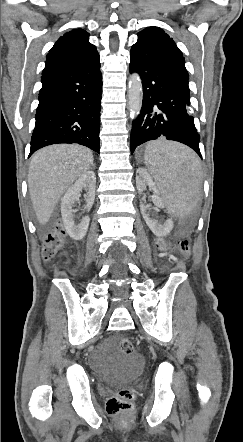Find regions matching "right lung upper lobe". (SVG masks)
I'll use <instances>...</instances> for the list:
<instances>
[{
  "label": "right lung upper lobe",
  "instance_id": "1",
  "mask_svg": "<svg viewBox=\"0 0 243 442\" xmlns=\"http://www.w3.org/2000/svg\"><path fill=\"white\" fill-rule=\"evenodd\" d=\"M96 53L95 45L89 42V34L85 30L74 29L60 37L49 51L43 71L83 61Z\"/></svg>",
  "mask_w": 243,
  "mask_h": 442
}]
</instances>
